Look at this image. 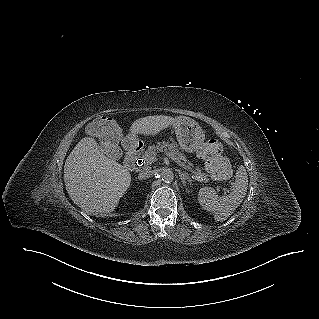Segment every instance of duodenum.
Here are the masks:
<instances>
[{
    "mask_svg": "<svg viewBox=\"0 0 319 319\" xmlns=\"http://www.w3.org/2000/svg\"><path fill=\"white\" fill-rule=\"evenodd\" d=\"M123 147L125 149V168L132 171L142 163L140 157L141 145L135 139H125Z\"/></svg>",
    "mask_w": 319,
    "mask_h": 319,
    "instance_id": "duodenum-1",
    "label": "duodenum"
}]
</instances>
